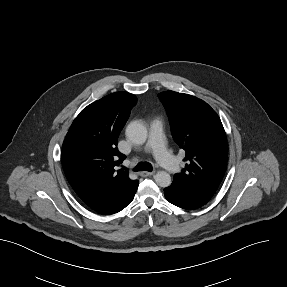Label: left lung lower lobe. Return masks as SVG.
Wrapping results in <instances>:
<instances>
[{
  "label": "left lung lower lobe",
  "instance_id": "1",
  "mask_svg": "<svg viewBox=\"0 0 287 287\" xmlns=\"http://www.w3.org/2000/svg\"><path fill=\"white\" fill-rule=\"evenodd\" d=\"M166 199L183 209H196L206 204L213 195L188 184L173 181L164 189Z\"/></svg>",
  "mask_w": 287,
  "mask_h": 287
}]
</instances>
